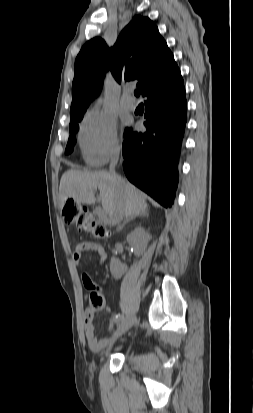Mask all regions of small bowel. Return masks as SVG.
<instances>
[{
    "label": "small bowel",
    "instance_id": "obj_1",
    "mask_svg": "<svg viewBox=\"0 0 253 413\" xmlns=\"http://www.w3.org/2000/svg\"><path fill=\"white\" fill-rule=\"evenodd\" d=\"M87 251H93L96 253L99 262L102 264L106 258L107 253L105 249L93 242H81L79 243L73 252V261L76 265L81 264L82 254ZM84 285L88 288L89 285L93 284L91 277L87 273H83L82 276ZM94 312L90 307L85 309L84 313V331H85V338L87 340L88 346L90 350L94 353H99L103 350L110 342H112L113 338H102L98 339L95 336V324H94ZM113 322H116V316L112 318Z\"/></svg>",
    "mask_w": 253,
    "mask_h": 413
}]
</instances>
